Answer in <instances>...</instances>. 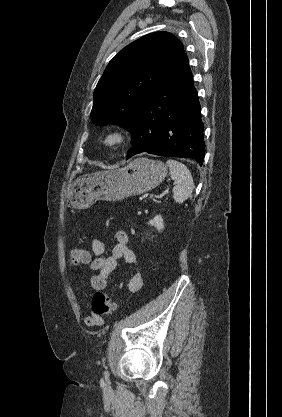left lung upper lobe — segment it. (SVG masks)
Masks as SVG:
<instances>
[{"label":"left lung upper lobe","mask_w":282,"mask_h":417,"mask_svg":"<svg viewBox=\"0 0 282 417\" xmlns=\"http://www.w3.org/2000/svg\"><path fill=\"white\" fill-rule=\"evenodd\" d=\"M183 54V44L169 32L150 33L123 48L94 90L93 123L130 131L138 109Z\"/></svg>","instance_id":"obj_1"}]
</instances>
